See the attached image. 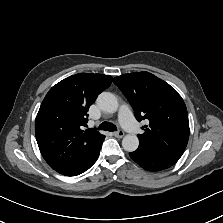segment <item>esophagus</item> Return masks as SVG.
<instances>
[{
  "mask_svg": "<svg viewBox=\"0 0 223 223\" xmlns=\"http://www.w3.org/2000/svg\"><path fill=\"white\" fill-rule=\"evenodd\" d=\"M113 135L115 137L121 138L124 136V132H123V130H117L116 132L113 133Z\"/></svg>",
  "mask_w": 223,
  "mask_h": 223,
  "instance_id": "34e87169",
  "label": "esophagus"
}]
</instances>
